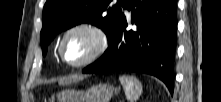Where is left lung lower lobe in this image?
<instances>
[{
	"mask_svg": "<svg viewBox=\"0 0 221 102\" xmlns=\"http://www.w3.org/2000/svg\"><path fill=\"white\" fill-rule=\"evenodd\" d=\"M134 29L128 30L124 14L109 47L83 73L127 70L153 75L174 91L176 52V0H126Z\"/></svg>",
	"mask_w": 221,
	"mask_h": 102,
	"instance_id": "obj_1",
	"label": "left lung lower lobe"
}]
</instances>
